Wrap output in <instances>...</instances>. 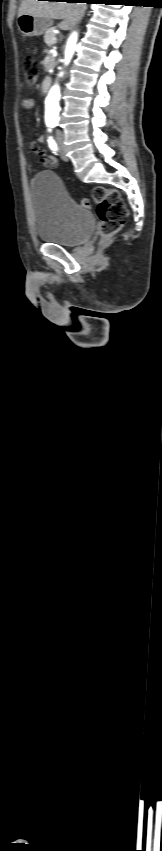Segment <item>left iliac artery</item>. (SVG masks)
Masks as SVG:
<instances>
[{"label":"left iliac artery","mask_w":162,"mask_h":851,"mask_svg":"<svg viewBox=\"0 0 162 851\" xmlns=\"http://www.w3.org/2000/svg\"><path fill=\"white\" fill-rule=\"evenodd\" d=\"M52 127H53V126H52ZM49 131H51V129H49ZM47 141H48V145H49L50 149H51V150H53V151H54V153H56V151H57V144H56V142L54 141V139H53L51 136H49Z\"/></svg>","instance_id":"left-iliac-artery-1"}]
</instances>
